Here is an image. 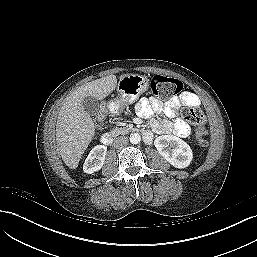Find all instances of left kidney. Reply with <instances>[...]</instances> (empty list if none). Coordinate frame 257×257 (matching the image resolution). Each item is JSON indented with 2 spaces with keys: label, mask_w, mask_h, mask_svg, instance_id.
<instances>
[{
  "label": "left kidney",
  "mask_w": 257,
  "mask_h": 257,
  "mask_svg": "<svg viewBox=\"0 0 257 257\" xmlns=\"http://www.w3.org/2000/svg\"><path fill=\"white\" fill-rule=\"evenodd\" d=\"M159 154L176 168L189 166L193 159L190 146L182 139L173 135H161L154 141Z\"/></svg>",
  "instance_id": "1"
}]
</instances>
